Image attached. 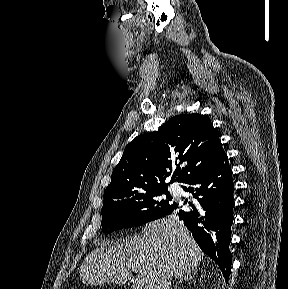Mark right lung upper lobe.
Listing matches in <instances>:
<instances>
[{"mask_svg":"<svg viewBox=\"0 0 288 289\" xmlns=\"http://www.w3.org/2000/svg\"><path fill=\"white\" fill-rule=\"evenodd\" d=\"M222 152L219 136L205 116L197 113L175 116L157 131L140 135L125 147L104 197L168 187L165 179L175 166L170 183H183Z\"/></svg>","mask_w":288,"mask_h":289,"instance_id":"obj_1","label":"right lung upper lobe"}]
</instances>
